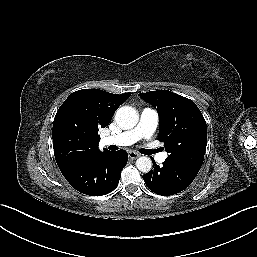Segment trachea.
<instances>
[{
  "label": "trachea",
  "instance_id": "trachea-1",
  "mask_svg": "<svg viewBox=\"0 0 257 257\" xmlns=\"http://www.w3.org/2000/svg\"><path fill=\"white\" fill-rule=\"evenodd\" d=\"M156 151H158V152H159V149H157V150L142 149V150H141V153H142V154H146V155H150V154L155 153Z\"/></svg>",
  "mask_w": 257,
  "mask_h": 257
}]
</instances>
